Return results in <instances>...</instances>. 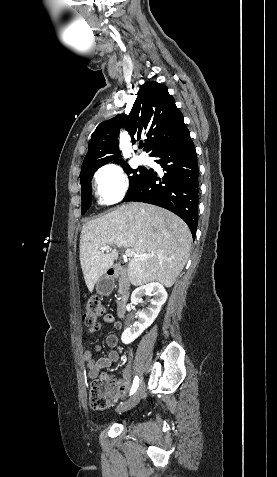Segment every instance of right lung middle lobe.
Instances as JSON below:
<instances>
[{"label":"right lung middle lobe","instance_id":"right-lung-middle-lobe-1","mask_svg":"<svg viewBox=\"0 0 277 477\" xmlns=\"http://www.w3.org/2000/svg\"><path fill=\"white\" fill-rule=\"evenodd\" d=\"M121 166L123 167L124 171L127 175H130L129 181V189L128 193H130L134 188H136L145 178L148 169L140 168V169H132L128 164L122 163ZM99 167H89L84 170H81L80 173V183L82 187L81 197H82V214H84L87 209L91 205V179L93 177L94 172Z\"/></svg>","mask_w":277,"mask_h":477}]
</instances>
